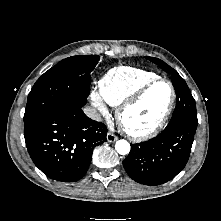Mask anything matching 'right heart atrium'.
<instances>
[{
	"label": "right heart atrium",
	"instance_id": "right-heart-atrium-1",
	"mask_svg": "<svg viewBox=\"0 0 221 221\" xmlns=\"http://www.w3.org/2000/svg\"><path fill=\"white\" fill-rule=\"evenodd\" d=\"M91 101H92V105L102 114V115H107L108 110L107 107L105 105V103L103 102V100L101 99L100 95L96 92H92L91 93Z\"/></svg>",
	"mask_w": 221,
	"mask_h": 221
}]
</instances>
